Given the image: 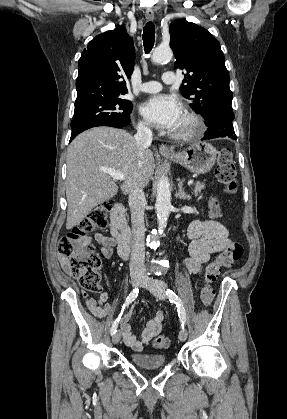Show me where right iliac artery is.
<instances>
[{"label": "right iliac artery", "mask_w": 287, "mask_h": 419, "mask_svg": "<svg viewBox=\"0 0 287 419\" xmlns=\"http://www.w3.org/2000/svg\"><path fill=\"white\" fill-rule=\"evenodd\" d=\"M138 293H139V289H138V288H135V289H133V290L130 292V294H129V295H128V297L126 298V301H125V303H124V304H123V306H122V311H121V313L119 314V317H118V318L114 321V323H113V325H112V327H111V330H110L111 335L115 334V333H116V331H117L118 323H119V321H120L121 315L123 314V310L125 309V307H128V306H129V304H130V303H132V302H133V301L137 298Z\"/></svg>", "instance_id": "82829eb1"}]
</instances>
